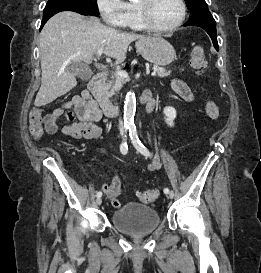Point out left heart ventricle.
Returning a JSON list of instances; mask_svg holds the SVG:
<instances>
[{
    "instance_id": "left-heart-ventricle-1",
    "label": "left heart ventricle",
    "mask_w": 261,
    "mask_h": 273,
    "mask_svg": "<svg viewBox=\"0 0 261 273\" xmlns=\"http://www.w3.org/2000/svg\"><path fill=\"white\" fill-rule=\"evenodd\" d=\"M151 13L157 26L170 27L179 20L181 7L178 0H155Z\"/></svg>"
}]
</instances>
